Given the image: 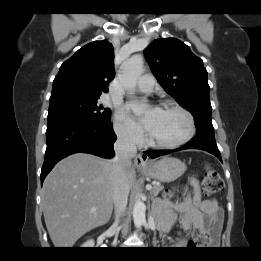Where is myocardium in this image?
Segmentation results:
<instances>
[{
    "mask_svg": "<svg viewBox=\"0 0 261 261\" xmlns=\"http://www.w3.org/2000/svg\"><path fill=\"white\" fill-rule=\"evenodd\" d=\"M163 110H172L180 113L184 116L186 123H187V130L185 134L180 137L179 139L171 142H160L153 140L150 136L147 138V143L155 148H161V149H173L178 148L183 145H185L187 142H189L192 137L195 134L196 126H195V120L192 114L186 110L184 107L175 104V103H166L163 105Z\"/></svg>",
    "mask_w": 261,
    "mask_h": 261,
    "instance_id": "obj_1",
    "label": "myocardium"
}]
</instances>
